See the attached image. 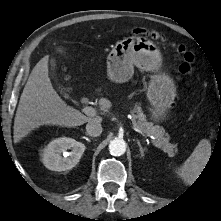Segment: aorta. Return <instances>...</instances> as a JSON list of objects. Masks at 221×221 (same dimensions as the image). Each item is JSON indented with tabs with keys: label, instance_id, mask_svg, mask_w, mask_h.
Segmentation results:
<instances>
[{
	"label": "aorta",
	"instance_id": "obj_1",
	"mask_svg": "<svg viewBox=\"0 0 221 221\" xmlns=\"http://www.w3.org/2000/svg\"><path fill=\"white\" fill-rule=\"evenodd\" d=\"M109 151L114 156H121L126 151V143L122 139H114L109 144Z\"/></svg>",
	"mask_w": 221,
	"mask_h": 221
}]
</instances>
